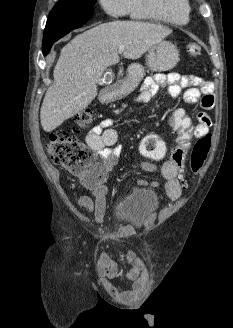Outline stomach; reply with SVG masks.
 Instances as JSON below:
<instances>
[{
	"mask_svg": "<svg viewBox=\"0 0 233 328\" xmlns=\"http://www.w3.org/2000/svg\"><path fill=\"white\" fill-rule=\"evenodd\" d=\"M179 61L177 47L169 41H161L148 50L147 66L157 72L172 69ZM145 75L144 67L139 63H132L127 69L124 82L112 92L110 99H120L136 89Z\"/></svg>",
	"mask_w": 233,
	"mask_h": 328,
	"instance_id": "stomach-1",
	"label": "stomach"
}]
</instances>
